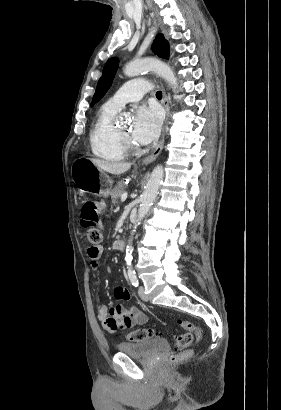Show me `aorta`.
Returning a JSON list of instances; mask_svg holds the SVG:
<instances>
[{
  "label": "aorta",
  "mask_w": 281,
  "mask_h": 410,
  "mask_svg": "<svg viewBox=\"0 0 281 410\" xmlns=\"http://www.w3.org/2000/svg\"><path fill=\"white\" fill-rule=\"evenodd\" d=\"M143 71L155 72L156 74L161 76L163 79H165L168 82V84L172 87V89L174 90L177 89L178 87V80L174 72L170 68V66L156 59H142V60L130 62L129 64L126 65L124 69V74L128 77H134V76L139 75ZM163 177H164L163 167L161 165H158L152 171L151 176L146 184L145 190L142 194L140 206L138 209L136 224L134 225L132 234H131L132 236L136 232L137 225H139L140 222L143 220V218L149 211L150 206L155 200L158 194L159 187L163 180ZM132 236L128 241V245L126 246V255H125V261H126V265H127V269L129 273L132 272V268H131V262L133 258L132 257V252H133V247H132L133 237Z\"/></svg>",
  "instance_id": "obj_1"
}]
</instances>
